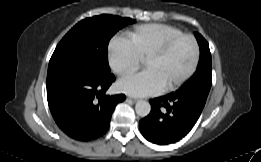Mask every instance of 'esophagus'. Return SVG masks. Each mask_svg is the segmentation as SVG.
<instances>
[{
    "instance_id": "1",
    "label": "esophagus",
    "mask_w": 261,
    "mask_h": 162,
    "mask_svg": "<svg viewBox=\"0 0 261 162\" xmlns=\"http://www.w3.org/2000/svg\"><path fill=\"white\" fill-rule=\"evenodd\" d=\"M127 100H130V101H132V102H137V101H138L137 99L132 98V97H127Z\"/></svg>"
}]
</instances>
